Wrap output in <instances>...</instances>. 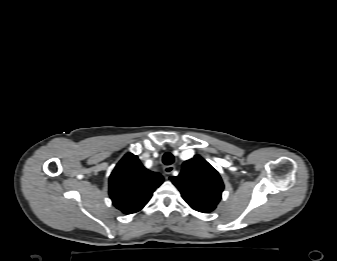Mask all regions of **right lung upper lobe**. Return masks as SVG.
<instances>
[{
    "label": "right lung upper lobe",
    "mask_w": 337,
    "mask_h": 261,
    "mask_svg": "<svg viewBox=\"0 0 337 261\" xmlns=\"http://www.w3.org/2000/svg\"><path fill=\"white\" fill-rule=\"evenodd\" d=\"M162 183L159 173L149 171L137 156L127 153L109 177V195L117 209L132 214L147 204Z\"/></svg>",
    "instance_id": "cb5924a9"
}]
</instances>
